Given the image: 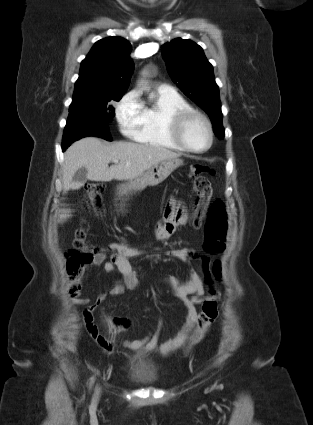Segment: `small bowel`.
I'll list each match as a JSON object with an SVG mask.
<instances>
[{
    "label": "small bowel",
    "mask_w": 313,
    "mask_h": 425,
    "mask_svg": "<svg viewBox=\"0 0 313 425\" xmlns=\"http://www.w3.org/2000/svg\"><path fill=\"white\" fill-rule=\"evenodd\" d=\"M188 220V215L183 205L172 199L166 207L162 221L157 225L156 236L159 240H167L173 234L179 224H184ZM113 251L110 260L104 264L106 273L117 272L120 279L107 292L100 294L91 301L88 297L73 296L71 301L82 306L81 317L86 331L92 340L106 353H112L115 348V342L101 335L95 322L94 313L107 296L121 295L125 290H135L139 286L138 274L130 262L131 258L139 257L143 253L125 243L113 242L109 245ZM188 248H180L169 251V255L183 262H188ZM103 253L97 252L94 256V264L99 265L105 261ZM166 283L172 293L182 300L186 308V323L184 329L176 336L161 345L158 344L160 331L163 321L158 319L154 331L146 337L137 340H126L123 346L131 351H158L162 354H168L178 348L197 344L202 340L205 333L217 317V301L212 300L205 295L203 277L200 271L190 268L188 278L180 282L175 277H169ZM201 305V311H198L196 305ZM131 323L129 318L114 317L112 319V328L115 332L125 330Z\"/></svg>",
    "instance_id": "obj_1"
}]
</instances>
